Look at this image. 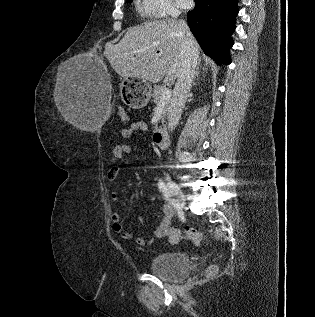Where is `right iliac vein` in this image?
I'll list each match as a JSON object with an SVG mask.
<instances>
[{
    "label": "right iliac vein",
    "mask_w": 315,
    "mask_h": 317,
    "mask_svg": "<svg viewBox=\"0 0 315 317\" xmlns=\"http://www.w3.org/2000/svg\"><path fill=\"white\" fill-rule=\"evenodd\" d=\"M166 180L170 193L176 198L178 206L183 208L185 204V197L180 187L175 182L171 181L169 177H167Z\"/></svg>",
    "instance_id": "1"
}]
</instances>
